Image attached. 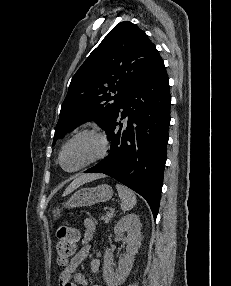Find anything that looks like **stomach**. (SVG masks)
Listing matches in <instances>:
<instances>
[{"mask_svg":"<svg viewBox=\"0 0 231 286\" xmlns=\"http://www.w3.org/2000/svg\"><path fill=\"white\" fill-rule=\"evenodd\" d=\"M113 196L112 187L107 184L98 185L96 187L81 188L76 191L67 201L63 207L54 208L52 210L53 219L57 220L61 216L63 208H76L92 206L99 202L109 201Z\"/></svg>","mask_w":231,"mask_h":286,"instance_id":"obj_1","label":"stomach"}]
</instances>
